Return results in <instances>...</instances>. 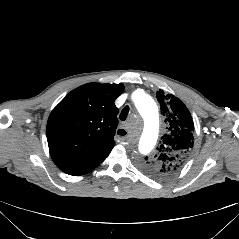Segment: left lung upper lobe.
Here are the masks:
<instances>
[{"instance_id":"5c2ea615","label":"left lung upper lobe","mask_w":239,"mask_h":239,"mask_svg":"<svg viewBox=\"0 0 239 239\" xmlns=\"http://www.w3.org/2000/svg\"><path fill=\"white\" fill-rule=\"evenodd\" d=\"M162 114L165 116L167 131L161 137L156 153L145 157L141 168L147 174L158 178H168L186 164L194 144L193 119L185 104L163 90L157 92Z\"/></svg>"}]
</instances>
